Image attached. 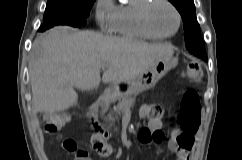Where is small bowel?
<instances>
[{
    "mask_svg": "<svg viewBox=\"0 0 242 160\" xmlns=\"http://www.w3.org/2000/svg\"><path fill=\"white\" fill-rule=\"evenodd\" d=\"M142 114L146 115L147 114L146 110L143 109ZM151 126H152V129L147 128L149 131L153 129H158V127L160 126V121L158 119H155L154 121H152ZM144 130H146V128L142 129L140 133ZM140 133H139V141L143 144H146L145 142H143V139L140 137ZM178 133H180V131H176L174 135L169 139L168 148L176 155V160H190V153L193 149L194 142H195L194 134L184 135V137L187 140V143L184 144L183 142H180L177 139L176 135ZM98 141H101V139L93 138V145L95 146V144ZM108 147L111 150V146L108 145ZM74 149H75L74 144L71 141H67V150L74 151Z\"/></svg>",
    "mask_w": 242,
    "mask_h": 160,
    "instance_id": "small-bowel-1",
    "label": "small bowel"
}]
</instances>
